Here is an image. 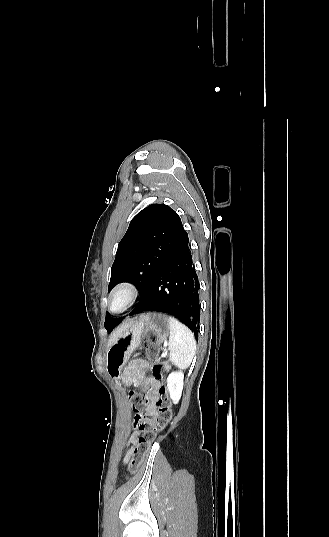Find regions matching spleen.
Segmentation results:
<instances>
[{
  "instance_id": "spleen-1",
  "label": "spleen",
  "mask_w": 329,
  "mask_h": 537,
  "mask_svg": "<svg viewBox=\"0 0 329 537\" xmlns=\"http://www.w3.org/2000/svg\"><path fill=\"white\" fill-rule=\"evenodd\" d=\"M169 350L171 362L182 369L190 366L196 351L191 330L174 317L169 318Z\"/></svg>"
}]
</instances>
